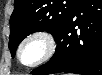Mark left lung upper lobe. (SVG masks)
I'll return each instance as SVG.
<instances>
[{"label": "left lung upper lobe", "instance_id": "5c2ea615", "mask_svg": "<svg viewBox=\"0 0 102 75\" xmlns=\"http://www.w3.org/2000/svg\"><path fill=\"white\" fill-rule=\"evenodd\" d=\"M81 0H14L10 18L9 49L15 56L18 44L29 34L48 31L55 36Z\"/></svg>", "mask_w": 102, "mask_h": 75}]
</instances>
